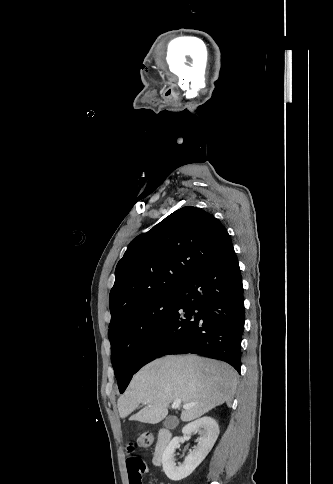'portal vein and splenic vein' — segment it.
Here are the masks:
<instances>
[{"label": "portal vein and splenic vein", "mask_w": 333, "mask_h": 484, "mask_svg": "<svg viewBox=\"0 0 333 484\" xmlns=\"http://www.w3.org/2000/svg\"><path fill=\"white\" fill-rule=\"evenodd\" d=\"M181 402H182L181 399L174 400L173 403H172V408L173 409L179 408V406L181 405ZM143 403L144 404H149L150 403V400H145ZM191 406H192L191 404H184L183 405V408L184 409H187V408H190Z\"/></svg>", "instance_id": "1"}]
</instances>
